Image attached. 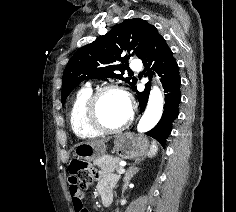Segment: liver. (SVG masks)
Returning <instances> with one entry per match:
<instances>
[{
  "label": "liver",
  "instance_id": "liver-1",
  "mask_svg": "<svg viewBox=\"0 0 236 212\" xmlns=\"http://www.w3.org/2000/svg\"><path fill=\"white\" fill-rule=\"evenodd\" d=\"M108 140H94V141H90V142H86L87 144H90L92 146H96V147H100L102 145H105V143L107 142Z\"/></svg>",
  "mask_w": 236,
  "mask_h": 212
}]
</instances>
